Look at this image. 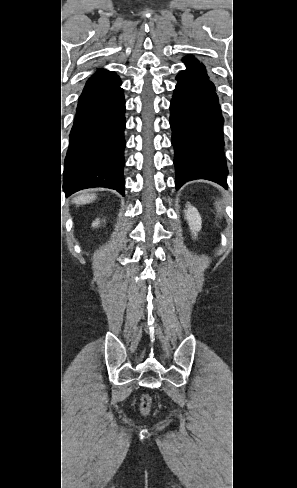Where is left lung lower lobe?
Returning <instances> with one entry per match:
<instances>
[{"label": "left lung lower lobe", "instance_id": "left-lung-lower-lobe-1", "mask_svg": "<svg viewBox=\"0 0 297 488\" xmlns=\"http://www.w3.org/2000/svg\"><path fill=\"white\" fill-rule=\"evenodd\" d=\"M170 103L176 189L206 179L227 186L223 117L215 88L182 71Z\"/></svg>", "mask_w": 297, "mask_h": 488}]
</instances>
